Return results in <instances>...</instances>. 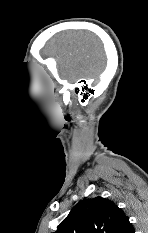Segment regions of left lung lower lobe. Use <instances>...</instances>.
Returning a JSON list of instances; mask_svg holds the SVG:
<instances>
[{
    "mask_svg": "<svg viewBox=\"0 0 148 233\" xmlns=\"http://www.w3.org/2000/svg\"><path fill=\"white\" fill-rule=\"evenodd\" d=\"M127 233H134V228L131 227V228L127 231Z\"/></svg>",
    "mask_w": 148,
    "mask_h": 233,
    "instance_id": "1",
    "label": "left lung lower lobe"
}]
</instances>
